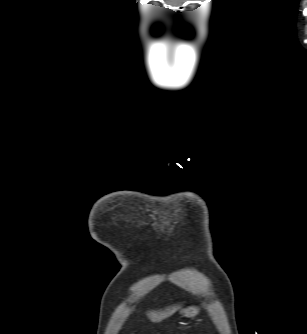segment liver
<instances>
[{"mask_svg":"<svg viewBox=\"0 0 307 334\" xmlns=\"http://www.w3.org/2000/svg\"><path fill=\"white\" fill-rule=\"evenodd\" d=\"M180 307L175 306L172 309H167L165 311H160V312H150L148 313V317L150 318L151 321L153 322H159L162 321L163 319L167 318L171 314H173L176 310H178Z\"/></svg>","mask_w":307,"mask_h":334,"instance_id":"1","label":"liver"}]
</instances>
